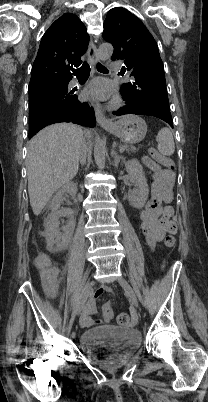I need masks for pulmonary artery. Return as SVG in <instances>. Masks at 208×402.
Wrapping results in <instances>:
<instances>
[{"label":"pulmonary artery","instance_id":"e3ab8cb5","mask_svg":"<svg viewBox=\"0 0 208 402\" xmlns=\"http://www.w3.org/2000/svg\"><path fill=\"white\" fill-rule=\"evenodd\" d=\"M109 69L112 71H119L120 70V65L118 64V62L116 60H113L111 62V65L109 66Z\"/></svg>","mask_w":208,"mask_h":402}]
</instances>
